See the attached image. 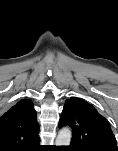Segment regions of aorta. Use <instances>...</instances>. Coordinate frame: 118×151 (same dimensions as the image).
I'll return each instance as SVG.
<instances>
[{
  "mask_svg": "<svg viewBox=\"0 0 118 151\" xmlns=\"http://www.w3.org/2000/svg\"><path fill=\"white\" fill-rule=\"evenodd\" d=\"M72 131L70 128H62L56 137L55 144L57 146H69L71 142Z\"/></svg>",
  "mask_w": 118,
  "mask_h": 151,
  "instance_id": "obj_1",
  "label": "aorta"
}]
</instances>
